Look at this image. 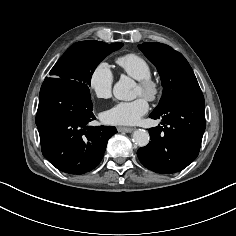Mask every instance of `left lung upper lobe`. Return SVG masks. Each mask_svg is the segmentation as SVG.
I'll return each mask as SVG.
<instances>
[{
    "mask_svg": "<svg viewBox=\"0 0 236 236\" xmlns=\"http://www.w3.org/2000/svg\"><path fill=\"white\" fill-rule=\"evenodd\" d=\"M145 56L156 66L162 81L163 94L153 112H160L179 94L189 90H200L197 79L185 57L157 42L138 45Z\"/></svg>",
    "mask_w": 236,
    "mask_h": 236,
    "instance_id": "obj_1",
    "label": "left lung upper lobe"
}]
</instances>
